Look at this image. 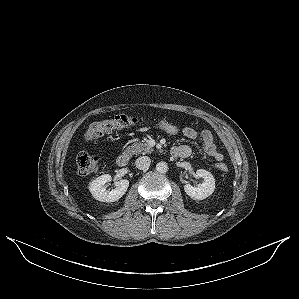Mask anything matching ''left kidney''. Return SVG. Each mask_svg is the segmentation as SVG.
<instances>
[{
	"label": "left kidney",
	"instance_id": "5707ae66",
	"mask_svg": "<svg viewBox=\"0 0 299 299\" xmlns=\"http://www.w3.org/2000/svg\"><path fill=\"white\" fill-rule=\"evenodd\" d=\"M196 174L198 177L203 178V182L201 184H198L197 187H193L190 184H186L184 186V190L186 194L191 198L196 200H203L214 192L215 179L210 172L204 169H198L196 171Z\"/></svg>",
	"mask_w": 299,
	"mask_h": 299
}]
</instances>
